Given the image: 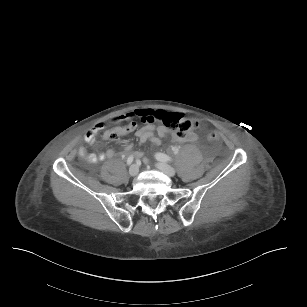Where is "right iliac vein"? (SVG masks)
<instances>
[{
  "instance_id": "obj_1",
  "label": "right iliac vein",
  "mask_w": 307,
  "mask_h": 307,
  "mask_svg": "<svg viewBox=\"0 0 307 307\" xmlns=\"http://www.w3.org/2000/svg\"><path fill=\"white\" fill-rule=\"evenodd\" d=\"M139 172V168L136 164H133L130 168H129V174L130 176L134 177L138 174Z\"/></svg>"
}]
</instances>
